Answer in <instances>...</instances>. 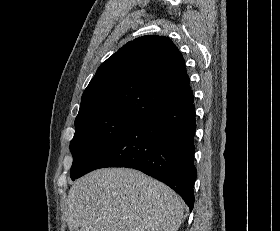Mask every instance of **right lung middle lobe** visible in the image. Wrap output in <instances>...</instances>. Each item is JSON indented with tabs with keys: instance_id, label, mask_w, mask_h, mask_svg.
<instances>
[{
	"instance_id": "dd1d6c3e",
	"label": "right lung middle lobe",
	"mask_w": 280,
	"mask_h": 231,
	"mask_svg": "<svg viewBox=\"0 0 280 231\" xmlns=\"http://www.w3.org/2000/svg\"><path fill=\"white\" fill-rule=\"evenodd\" d=\"M139 121L128 117L75 120L76 131L70 143L73 154L71 179L77 177L107 146Z\"/></svg>"
}]
</instances>
